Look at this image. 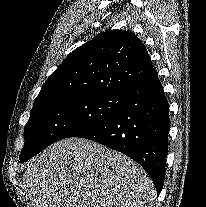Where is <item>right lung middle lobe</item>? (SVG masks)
I'll return each instance as SVG.
<instances>
[{"instance_id": "right-lung-middle-lobe-1", "label": "right lung middle lobe", "mask_w": 206, "mask_h": 207, "mask_svg": "<svg viewBox=\"0 0 206 207\" xmlns=\"http://www.w3.org/2000/svg\"><path fill=\"white\" fill-rule=\"evenodd\" d=\"M124 100V94H90L58 97L34 105L25 126L20 160L104 122L122 107Z\"/></svg>"}]
</instances>
